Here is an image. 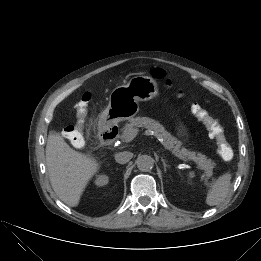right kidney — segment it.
I'll return each instance as SVG.
<instances>
[{
  "label": "right kidney",
  "mask_w": 261,
  "mask_h": 261,
  "mask_svg": "<svg viewBox=\"0 0 261 261\" xmlns=\"http://www.w3.org/2000/svg\"><path fill=\"white\" fill-rule=\"evenodd\" d=\"M109 182V178L106 175H99L96 180H95V184L99 187L107 185Z\"/></svg>",
  "instance_id": "right-kidney-1"
}]
</instances>
